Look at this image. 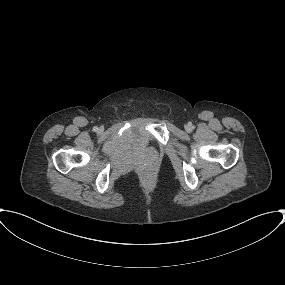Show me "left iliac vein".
<instances>
[{
  "label": "left iliac vein",
  "mask_w": 285,
  "mask_h": 285,
  "mask_svg": "<svg viewBox=\"0 0 285 285\" xmlns=\"http://www.w3.org/2000/svg\"><path fill=\"white\" fill-rule=\"evenodd\" d=\"M185 128H186L187 131L190 130V127L188 125Z\"/></svg>",
  "instance_id": "obj_1"
}]
</instances>
